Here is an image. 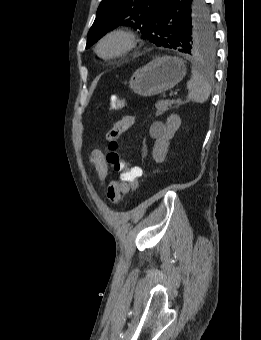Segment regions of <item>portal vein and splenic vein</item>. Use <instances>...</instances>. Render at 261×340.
Listing matches in <instances>:
<instances>
[{"mask_svg": "<svg viewBox=\"0 0 261 340\" xmlns=\"http://www.w3.org/2000/svg\"><path fill=\"white\" fill-rule=\"evenodd\" d=\"M175 95H177V93H172V94H171V96H175Z\"/></svg>", "mask_w": 261, "mask_h": 340, "instance_id": "portal-vein-and-splenic-vein-1", "label": "portal vein and splenic vein"}]
</instances>
